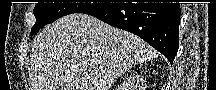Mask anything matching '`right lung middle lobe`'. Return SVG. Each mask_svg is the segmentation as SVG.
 Segmentation results:
<instances>
[{"label": "right lung middle lobe", "mask_w": 216, "mask_h": 90, "mask_svg": "<svg viewBox=\"0 0 216 90\" xmlns=\"http://www.w3.org/2000/svg\"><path fill=\"white\" fill-rule=\"evenodd\" d=\"M108 3H38L33 13L36 23L31 29V36L36 34L44 26L54 22L58 18L72 13H87L93 9L101 8Z\"/></svg>", "instance_id": "right-lung-middle-lobe-1"}]
</instances>
